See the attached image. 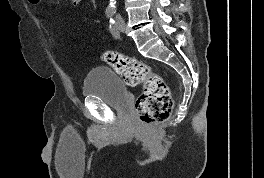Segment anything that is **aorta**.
<instances>
[{"label":"aorta","mask_w":264,"mask_h":178,"mask_svg":"<svg viewBox=\"0 0 264 178\" xmlns=\"http://www.w3.org/2000/svg\"><path fill=\"white\" fill-rule=\"evenodd\" d=\"M109 10H116V0H109V5H108Z\"/></svg>","instance_id":"762f6f07"}]
</instances>
